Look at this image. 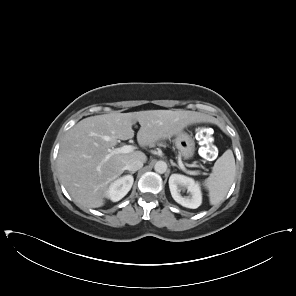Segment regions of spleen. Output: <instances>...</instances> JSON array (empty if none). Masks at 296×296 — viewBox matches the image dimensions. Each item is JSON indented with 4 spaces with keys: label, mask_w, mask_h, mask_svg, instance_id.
Here are the masks:
<instances>
[{
    "label": "spleen",
    "mask_w": 296,
    "mask_h": 296,
    "mask_svg": "<svg viewBox=\"0 0 296 296\" xmlns=\"http://www.w3.org/2000/svg\"><path fill=\"white\" fill-rule=\"evenodd\" d=\"M235 159L232 150H226L215 162L212 173L204 181L211 205L219 204L227 195L235 176Z\"/></svg>",
    "instance_id": "1"
}]
</instances>
